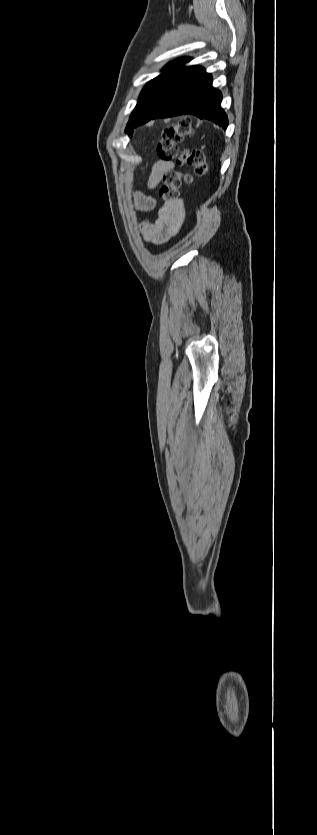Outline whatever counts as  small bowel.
Wrapping results in <instances>:
<instances>
[{
    "label": "small bowel",
    "instance_id": "c3829d8e",
    "mask_svg": "<svg viewBox=\"0 0 317 835\" xmlns=\"http://www.w3.org/2000/svg\"><path fill=\"white\" fill-rule=\"evenodd\" d=\"M173 161L160 160L156 162L149 174L147 188L153 191L161 182L164 174L173 170ZM133 204L136 209L143 212H150L155 209V198L143 191L137 190L133 193ZM184 221V211L181 206L162 208L156 220L141 227L146 241L154 245H163L169 242L178 232Z\"/></svg>",
    "mask_w": 317,
    "mask_h": 835
}]
</instances>
